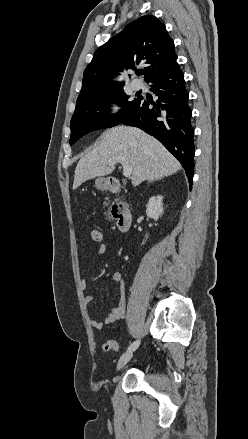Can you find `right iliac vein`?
<instances>
[{"label":"right iliac vein","instance_id":"1","mask_svg":"<svg viewBox=\"0 0 248 439\" xmlns=\"http://www.w3.org/2000/svg\"><path fill=\"white\" fill-rule=\"evenodd\" d=\"M133 351H127L125 352L119 359L117 366H116V371L121 370L133 357Z\"/></svg>","mask_w":248,"mask_h":439}]
</instances>
